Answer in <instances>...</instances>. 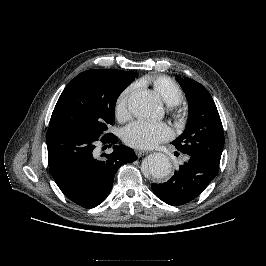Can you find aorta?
<instances>
[{
  "mask_svg": "<svg viewBox=\"0 0 266 266\" xmlns=\"http://www.w3.org/2000/svg\"><path fill=\"white\" fill-rule=\"evenodd\" d=\"M128 110L136 117H158L162 113L161 101L154 92L146 90L134 92L128 100ZM143 170L156 179L164 178L171 173L172 165L169 158L163 153L150 154Z\"/></svg>",
  "mask_w": 266,
  "mask_h": 266,
  "instance_id": "obj_1",
  "label": "aorta"
}]
</instances>
